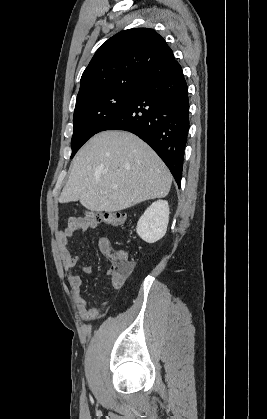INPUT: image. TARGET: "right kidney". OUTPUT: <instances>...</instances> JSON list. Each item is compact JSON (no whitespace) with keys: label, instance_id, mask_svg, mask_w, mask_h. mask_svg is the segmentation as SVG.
<instances>
[{"label":"right kidney","instance_id":"ca27d5eb","mask_svg":"<svg viewBox=\"0 0 267 419\" xmlns=\"http://www.w3.org/2000/svg\"><path fill=\"white\" fill-rule=\"evenodd\" d=\"M169 205L165 200L153 202L137 223V234L144 241L154 243L166 233L169 222Z\"/></svg>","mask_w":267,"mask_h":419}]
</instances>
